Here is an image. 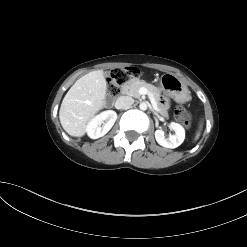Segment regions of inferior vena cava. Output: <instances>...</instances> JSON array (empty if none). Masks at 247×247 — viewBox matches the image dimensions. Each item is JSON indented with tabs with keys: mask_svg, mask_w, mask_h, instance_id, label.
<instances>
[{
	"mask_svg": "<svg viewBox=\"0 0 247 247\" xmlns=\"http://www.w3.org/2000/svg\"><path fill=\"white\" fill-rule=\"evenodd\" d=\"M134 103V99L129 96H120L116 102L115 107L116 109H125L130 107Z\"/></svg>",
	"mask_w": 247,
	"mask_h": 247,
	"instance_id": "inferior-vena-cava-1",
	"label": "inferior vena cava"
}]
</instances>
